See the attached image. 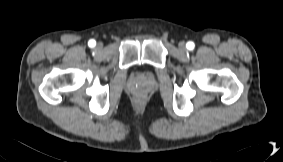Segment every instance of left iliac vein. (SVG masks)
<instances>
[{"instance_id":"4c4485c4","label":"left iliac vein","mask_w":283,"mask_h":162,"mask_svg":"<svg viewBox=\"0 0 283 162\" xmlns=\"http://www.w3.org/2000/svg\"><path fill=\"white\" fill-rule=\"evenodd\" d=\"M178 47L181 51H185L186 50L185 42H183V41L179 42Z\"/></svg>"}]
</instances>
